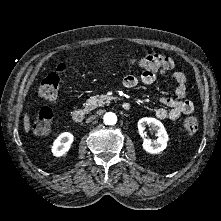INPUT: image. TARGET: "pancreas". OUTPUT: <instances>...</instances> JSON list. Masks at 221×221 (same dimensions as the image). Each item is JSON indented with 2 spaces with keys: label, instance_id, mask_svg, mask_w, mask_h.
Wrapping results in <instances>:
<instances>
[{
  "label": "pancreas",
  "instance_id": "pancreas-1",
  "mask_svg": "<svg viewBox=\"0 0 221 221\" xmlns=\"http://www.w3.org/2000/svg\"><path fill=\"white\" fill-rule=\"evenodd\" d=\"M111 100H113V97L111 96H107V95H96V96H92L90 97L86 103L84 104V107L87 110H93L97 107H101L105 104H108L111 102Z\"/></svg>",
  "mask_w": 221,
  "mask_h": 221
}]
</instances>
